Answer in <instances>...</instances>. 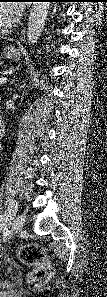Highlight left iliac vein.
<instances>
[{
  "instance_id": "left-iliac-vein-1",
  "label": "left iliac vein",
  "mask_w": 107,
  "mask_h": 297,
  "mask_svg": "<svg viewBox=\"0 0 107 297\" xmlns=\"http://www.w3.org/2000/svg\"><path fill=\"white\" fill-rule=\"evenodd\" d=\"M25 220H26V216L24 213H20L16 216L12 224V229H11L12 234L20 232L23 229Z\"/></svg>"
}]
</instances>
